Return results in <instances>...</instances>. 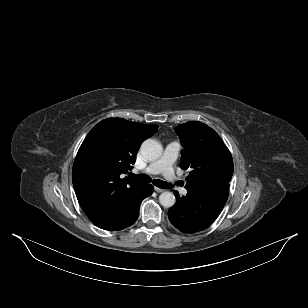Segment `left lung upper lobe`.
<instances>
[{
  "label": "left lung upper lobe",
  "mask_w": 308,
  "mask_h": 308,
  "mask_svg": "<svg viewBox=\"0 0 308 308\" xmlns=\"http://www.w3.org/2000/svg\"><path fill=\"white\" fill-rule=\"evenodd\" d=\"M175 132L184 148L180 167L189 169L188 193L229 183L233 175L231 153L220 136L201 122L178 125Z\"/></svg>",
  "instance_id": "1"
}]
</instances>
